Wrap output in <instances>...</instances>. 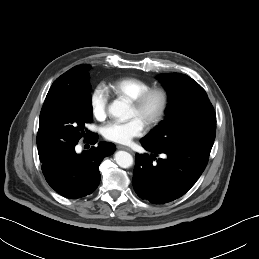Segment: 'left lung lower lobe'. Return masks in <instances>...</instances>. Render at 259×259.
Listing matches in <instances>:
<instances>
[{
    "label": "left lung lower lobe",
    "mask_w": 259,
    "mask_h": 259,
    "mask_svg": "<svg viewBox=\"0 0 259 259\" xmlns=\"http://www.w3.org/2000/svg\"><path fill=\"white\" fill-rule=\"evenodd\" d=\"M151 154H136L133 187L141 199L164 204L183 196L205 170L211 149H161L141 140ZM164 154L165 159L156 158Z\"/></svg>",
    "instance_id": "1"
}]
</instances>
